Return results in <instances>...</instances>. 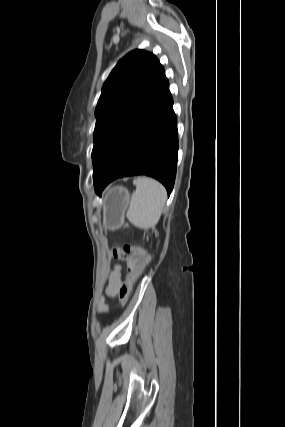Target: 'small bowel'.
Instances as JSON below:
<instances>
[{
	"label": "small bowel",
	"mask_w": 285,
	"mask_h": 427,
	"mask_svg": "<svg viewBox=\"0 0 285 427\" xmlns=\"http://www.w3.org/2000/svg\"><path fill=\"white\" fill-rule=\"evenodd\" d=\"M120 285L121 268L120 266H116L110 274L108 285L106 287V295L109 297H116ZM98 309L100 312H108V306L106 305L104 299H101Z\"/></svg>",
	"instance_id": "obj_1"
}]
</instances>
